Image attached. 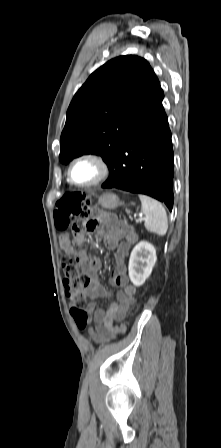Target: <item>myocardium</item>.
I'll return each instance as SVG.
<instances>
[{
  "instance_id": "f54148a6",
  "label": "myocardium",
  "mask_w": 221,
  "mask_h": 448,
  "mask_svg": "<svg viewBox=\"0 0 221 448\" xmlns=\"http://www.w3.org/2000/svg\"><path fill=\"white\" fill-rule=\"evenodd\" d=\"M83 160H87V161H91V162L95 163L97 165V167L99 168V175L97 176V178H95L94 180H92L90 182L77 183L76 181H74L72 179V176H71L72 167L75 163H77L79 161H83ZM111 172H112L111 166L103 156L96 154V153H85V154L77 156L70 162L68 169H67V179L74 186L88 188V187L100 185L101 183L105 182L110 177Z\"/></svg>"
}]
</instances>
